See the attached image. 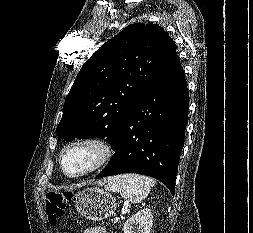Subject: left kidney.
<instances>
[{"instance_id": "5707ae66", "label": "left kidney", "mask_w": 253, "mask_h": 233, "mask_svg": "<svg viewBox=\"0 0 253 233\" xmlns=\"http://www.w3.org/2000/svg\"><path fill=\"white\" fill-rule=\"evenodd\" d=\"M153 224V215L150 209L145 208L131 216L123 226L124 233H150Z\"/></svg>"}]
</instances>
